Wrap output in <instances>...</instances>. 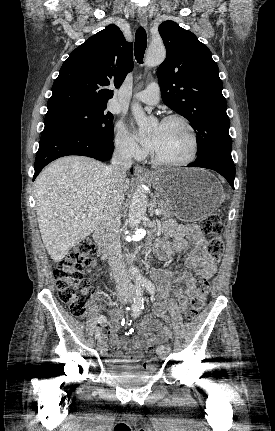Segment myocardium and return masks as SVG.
<instances>
[{
  "instance_id": "f54148a6",
  "label": "myocardium",
  "mask_w": 275,
  "mask_h": 431,
  "mask_svg": "<svg viewBox=\"0 0 275 431\" xmlns=\"http://www.w3.org/2000/svg\"><path fill=\"white\" fill-rule=\"evenodd\" d=\"M171 122H179L187 129V131L190 135V138H191V151H190L189 156L184 160L172 162V161H166V160L160 158L156 154V152L154 150H152L151 158L155 164L162 166V167H167V168L184 167V166H187V165L191 164L192 162H194V160L196 159V157L198 155V151H199L198 135H197L194 127L192 126V124L183 116H180V115L167 116L162 120L161 124H166V123H171Z\"/></svg>"
}]
</instances>
